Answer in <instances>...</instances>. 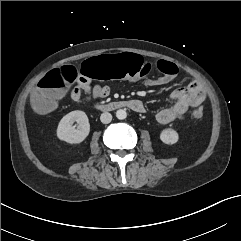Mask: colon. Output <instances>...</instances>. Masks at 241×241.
Instances as JSON below:
<instances>
[{
  "mask_svg": "<svg viewBox=\"0 0 241 241\" xmlns=\"http://www.w3.org/2000/svg\"><path fill=\"white\" fill-rule=\"evenodd\" d=\"M157 69L170 77L178 74V67L166 60H159ZM152 69L149 62L144 61L140 56L129 52L108 53L103 56H93L80 62L77 72L84 79L99 78L111 80L114 78H141L146 76ZM76 70L71 66L54 69L42 77L32 97L33 108L40 113L49 111L58 101L65 90L75 81ZM195 119L203 117V109L196 108L192 112Z\"/></svg>",
  "mask_w": 241,
  "mask_h": 241,
  "instance_id": "colon-1",
  "label": "colon"
}]
</instances>
